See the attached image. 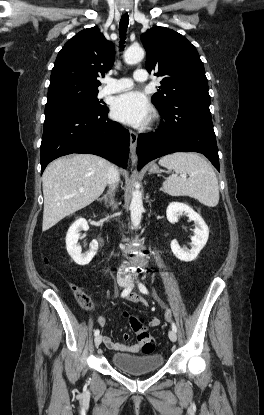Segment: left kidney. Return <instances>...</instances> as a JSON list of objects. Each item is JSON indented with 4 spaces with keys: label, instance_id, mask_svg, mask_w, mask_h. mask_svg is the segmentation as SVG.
Returning a JSON list of instances; mask_svg holds the SVG:
<instances>
[{
    "label": "left kidney",
    "instance_id": "left-kidney-1",
    "mask_svg": "<svg viewBox=\"0 0 264 415\" xmlns=\"http://www.w3.org/2000/svg\"><path fill=\"white\" fill-rule=\"evenodd\" d=\"M186 215L194 221V235L191 237V249L181 248L177 240L171 241V250L173 254L181 261L190 262L196 259L200 251L206 245L209 237V228L203 218L195 212L190 206L181 202H171L166 210L167 220L174 224L181 215Z\"/></svg>",
    "mask_w": 264,
    "mask_h": 415
}]
</instances>
